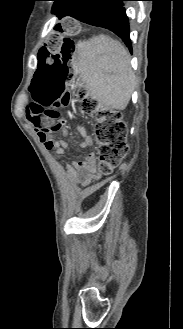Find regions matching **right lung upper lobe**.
Listing matches in <instances>:
<instances>
[{
	"mask_svg": "<svg viewBox=\"0 0 183 329\" xmlns=\"http://www.w3.org/2000/svg\"><path fill=\"white\" fill-rule=\"evenodd\" d=\"M53 1H59V0H53ZM54 4H55V2H54Z\"/></svg>",
	"mask_w": 183,
	"mask_h": 329,
	"instance_id": "1",
	"label": "right lung upper lobe"
}]
</instances>
